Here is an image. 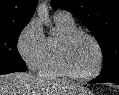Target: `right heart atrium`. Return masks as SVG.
<instances>
[{
	"mask_svg": "<svg viewBox=\"0 0 119 95\" xmlns=\"http://www.w3.org/2000/svg\"><path fill=\"white\" fill-rule=\"evenodd\" d=\"M47 38L40 22L31 19L21 30L17 39V49L27 67L39 70L45 55Z\"/></svg>",
	"mask_w": 119,
	"mask_h": 95,
	"instance_id": "d8ad5b80",
	"label": "right heart atrium"
}]
</instances>
